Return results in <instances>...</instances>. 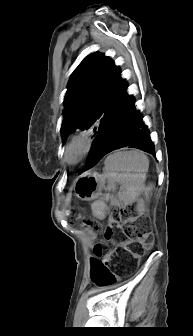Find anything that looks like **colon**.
<instances>
[{
  "label": "colon",
  "instance_id": "1",
  "mask_svg": "<svg viewBox=\"0 0 193 336\" xmlns=\"http://www.w3.org/2000/svg\"><path fill=\"white\" fill-rule=\"evenodd\" d=\"M92 225L103 234V242L94 248L96 260L93 262L92 280L97 285L107 286L115 282L116 274L110 268L114 256L130 261L153 247L154 239L148 221L137 219L128 209L114 210L104 228L97 223ZM120 232L123 233L122 238L119 237Z\"/></svg>",
  "mask_w": 193,
  "mask_h": 336
}]
</instances>
